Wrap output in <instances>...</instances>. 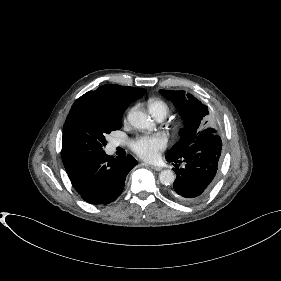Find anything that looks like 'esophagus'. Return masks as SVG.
Returning <instances> with one entry per match:
<instances>
[{
    "mask_svg": "<svg viewBox=\"0 0 281 281\" xmlns=\"http://www.w3.org/2000/svg\"><path fill=\"white\" fill-rule=\"evenodd\" d=\"M150 167H151L152 169L156 170V171H161V170H162V168L159 167V166L150 165Z\"/></svg>",
    "mask_w": 281,
    "mask_h": 281,
    "instance_id": "obj_1",
    "label": "esophagus"
}]
</instances>
